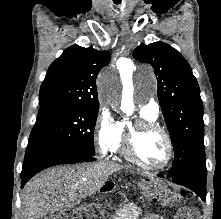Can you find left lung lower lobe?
<instances>
[{
	"label": "left lung lower lobe",
	"mask_w": 221,
	"mask_h": 219,
	"mask_svg": "<svg viewBox=\"0 0 221 219\" xmlns=\"http://www.w3.org/2000/svg\"><path fill=\"white\" fill-rule=\"evenodd\" d=\"M158 176L164 178L162 174H159ZM206 177L207 169L206 166H204L191 169L171 178L173 182L191 189L196 194H198L202 200H205L204 196L206 194Z\"/></svg>",
	"instance_id": "1"
}]
</instances>
